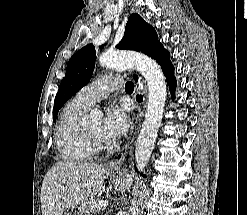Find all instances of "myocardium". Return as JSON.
Masks as SVG:
<instances>
[{"label":"myocardium","instance_id":"f54148a6","mask_svg":"<svg viewBox=\"0 0 247 215\" xmlns=\"http://www.w3.org/2000/svg\"><path fill=\"white\" fill-rule=\"evenodd\" d=\"M85 134L95 150L103 149L106 146L107 142L103 136L92 134L88 130H85Z\"/></svg>","mask_w":247,"mask_h":215}]
</instances>
